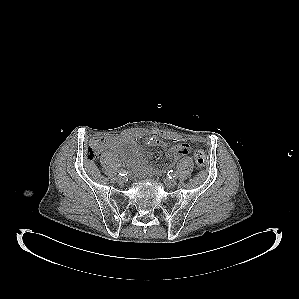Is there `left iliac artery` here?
I'll return each mask as SVG.
<instances>
[{"instance_id":"left-iliac-artery-1","label":"left iliac artery","mask_w":299,"mask_h":299,"mask_svg":"<svg viewBox=\"0 0 299 299\" xmlns=\"http://www.w3.org/2000/svg\"><path fill=\"white\" fill-rule=\"evenodd\" d=\"M167 175L169 178H174V177H176L177 174L175 171L170 170V171H168Z\"/></svg>"}]
</instances>
